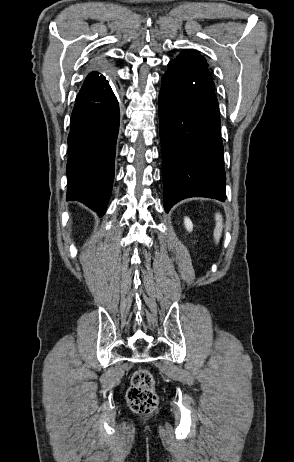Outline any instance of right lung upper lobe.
Listing matches in <instances>:
<instances>
[{
	"mask_svg": "<svg viewBox=\"0 0 294 462\" xmlns=\"http://www.w3.org/2000/svg\"><path fill=\"white\" fill-rule=\"evenodd\" d=\"M105 74H108V69L104 67H99L97 68V70L90 72L86 77L85 81L99 80L105 78Z\"/></svg>",
	"mask_w": 294,
	"mask_h": 462,
	"instance_id": "right-lung-upper-lobe-1",
	"label": "right lung upper lobe"
}]
</instances>
